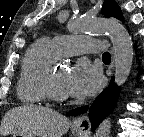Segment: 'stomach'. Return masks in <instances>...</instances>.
<instances>
[{
  "label": "stomach",
  "mask_w": 144,
  "mask_h": 137,
  "mask_svg": "<svg viewBox=\"0 0 144 137\" xmlns=\"http://www.w3.org/2000/svg\"><path fill=\"white\" fill-rule=\"evenodd\" d=\"M79 134H83L82 132L80 131H77ZM13 137H33V136H30L28 134H21V133H17V134H13Z\"/></svg>",
  "instance_id": "1"
}]
</instances>
